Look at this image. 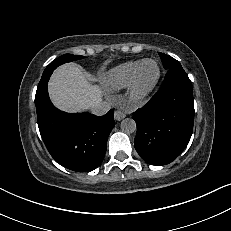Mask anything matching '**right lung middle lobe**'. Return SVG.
<instances>
[{"label": "right lung middle lobe", "instance_id": "obj_1", "mask_svg": "<svg viewBox=\"0 0 231 231\" xmlns=\"http://www.w3.org/2000/svg\"><path fill=\"white\" fill-rule=\"evenodd\" d=\"M83 58V56H78V55H72V54H65L62 55L61 57L55 59L54 61H52L47 67H54L56 68L57 66L66 63V62H71L74 60H79Z\"/></svg>", "mask_w": 231, "mask_h": 231}]
</instances>
